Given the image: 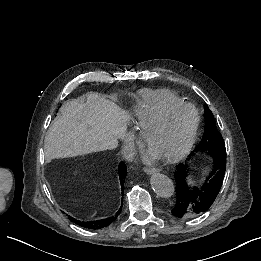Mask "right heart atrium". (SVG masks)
Masks as SVG:
<instances>
[{
	"instance_id": "obj_1",
	"label": "right heart atrium",
	"mask_w": 261,
	"mask_h": 261,
	"mask_svg": "<svg viewBox=\"0 0 261 261\" xmlns=\"http://www.w3.org/2000/svg\"><path fill=\"white\" fill-rule=\"evenodd\" d=\"M121 109V108H120ZM122 111V110H121ZM128 134H129V144L132 142V140H133V134H132V131H131V129H129V131H128Z\"/></svg>"
}]
</instances>
